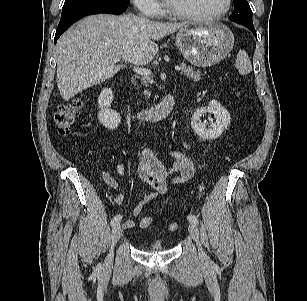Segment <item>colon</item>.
<instances>
[{"label": "colon", "instance_id": "1", "mask_svg": "<svg viewBox=\"0 0 307 301\" xmlns=\"http://www.w3.org/2000/svg\"><path fill=\"white\" fill-rule=\"evenodd\" d=\"M84 100L82 98H74L68 102L59 104L54 113L53 121L57 126L59 132L67 135L70 132L71 125L78 112L82 109ZM153 218L150 216L143 217L140 221L141 228H148L151 226ZM171 229L175 230L176 225L172 224Z\"/></svg>", "mask_w": 307, "mask_h": 301}]
</instances>
